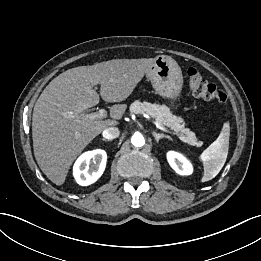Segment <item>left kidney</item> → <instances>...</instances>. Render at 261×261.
Here are the masks:
<instances>
[{"label": "left kidney", "instance_id": "left-kidney-1", "mask_svg": "<svg viewBox=\"0 0 261 261\" xmlns=\"http://www.w3.org/2000/svg\"><path fill=\"white\" fill-rule=\"evenodd\" d=\"M170 166L180 175H190L193 172L191 163L181 154L170 151L167 153Z\"/></svg>", "mask_w": 261, "mask_h": 261}]
</instances>
